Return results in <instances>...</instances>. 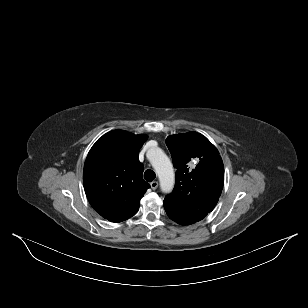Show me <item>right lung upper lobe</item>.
<instances>
[{
  "label": "right lung upper lobe",
  "instance_id": "right-lung-upper-lobe-1",
  "mask_svg": "<svg viewBox=\"0 0 308 308\" xmlns=\"http://www.w3.org/2000/svg\"><path fill=\"white\" fill-rule=\"evenodd\" d=\"M147 135L113 130L91 148L85 161L83 182L86 196L96 212L111 222L135 215L150 185L143 180L138 153Z\"/></svg>",
  "mask_w": 308,
  "mask_h": 308
}]
</instances>
